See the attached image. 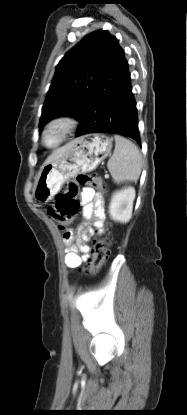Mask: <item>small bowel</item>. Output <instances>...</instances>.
Listing matches in <instances>:
<instances>
[{
	"label": "small bowel",
	"instance_id": "c3829d8e",
	"mask_svg": "<svg viewBox=\"0 0 187 415\" xmlns=\"http://www.w3.org/2000/svg\"><path fill=\"white\" fill-rule=\"evenodd\" d=\"M80 200L83 204L82 216L86 220H91L97 228H102L105 219V201L101 193L85 187L81 190ZM91 232V230H88ZM89 234L87 231L74 236L69 231L63 235L66 255L64 263L67 268H77L90 255V248L87 245Z\"/></svg>",
	"mask_w": 187,
	"mask_h": 415
}]
</instances>
